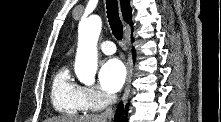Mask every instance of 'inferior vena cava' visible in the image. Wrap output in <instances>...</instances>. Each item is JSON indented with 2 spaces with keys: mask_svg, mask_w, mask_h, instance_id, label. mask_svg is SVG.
<instances>
[{
  "mask_svg": "<svg viewBox=\"0 0 221 122\" xmlns=\"http://www.w3.org/2000/svg\"><path fill=\"white\" fill-rule=\"evenodd\" d=\"M117 101V97L115 95H110L109 96V102L111 104H115ZM101 117L107 119V118H112L113 117V109L110 106L109 108H107L102 114Z\"/></svg>",
  "mask_w": 221,
  "mask_h": 122,
  "instance_id": "1",
  "label": "inferior vena cava"
}]
</instances>
